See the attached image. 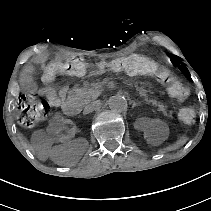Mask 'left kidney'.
<instances>
[{
    "label": "left kidney",
    "mask_w": 211,
    "mask_h": 211,
    "mask_svg": "<svg viewBox=\"0 0 211 211\" xmlns=\"http://www.w3.org/2000/svg\"><path fill=\"white\" fill-rule=\"evenodd\" d=\"M165 126H166V121L163 118H157L154 121L142 120L139 123L140 130L144 132H155L157 130L165 128Z\"/></svg>",
    "instance_id": "obj_1"
}]
</instances>
